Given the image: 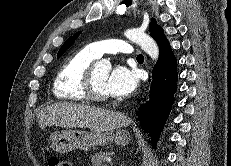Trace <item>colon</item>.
I'll list each match as a JSON object with an SVG mask.
<instances>
[{
	"label": "colon",
	"instance_id": "obj_1",
	"mask_svg": "<svg viewBox=\"0 0 231 166\" xmlns=\"http://www.w3.org/2000/svg\"><path fill=\"white\" fill-rule=\"evenodd\" d=\"M48 166H72L70 162L59 157L52 156L48 159Z\"/></svg>",
	"mask_w": 231,
	"mask_h": 166
}]
</instances>
